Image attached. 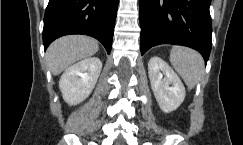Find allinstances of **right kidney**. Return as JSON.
I'll list each match as a JSON object with an SVG mask.
<instances>
[{
    "label": "right kidney",
    "instance_id": "obj_1",
    "mask_svg": "<svg viewBox=\"0 0 243 145\" xmlns=\"http://www.w3.org/2000/svg\"><path fill=\"white\" fill-rule=\"evenodd\" d=\"M102 69L98 57H90L70 66L62 74L59 88L69 105H77L92 92Z\"/></svg>",
    "mask_w": 243,
    "mask_h": 145
}]
</instances>
